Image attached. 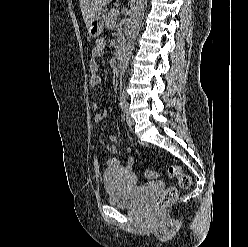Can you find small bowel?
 Masks as SVG:
<instances>
[{
    "instance_id": "1",
    "label": "small bowel",
    "mask_w": 248,
    "mask_h": 247,
    "mask_svg": "<svg viewBox=\"0 0 248 247\" xmlns=\"http://www.w3.org/2000/svg\"><path fill=\"white\" fill-rule=\"evenodd\" d=\"M104 52H105V41L103 39H99V40H97L96 45L92 49V53H91L90 85L92 87L99 86L102 82L101 76L97 72L98 68L96 65V59L102 57L104 55ZM98 107H99V103L97 101H93L91 104L92 110L96 111L98 109ZM107 114H108L107 111L97 113L94 117L95 122H97V123L102 122L106 118ZM110 140L112 141L113 144L105 143L104 147L110 154L115 155L117 153V147L115 146L114 143H116L117 138L114 135H112V136H110ZM126 153L128 155V158H127L125 164L123 165V167L125 169H127L128 171H131L133 169V165H134V161H133V158L131 156V153H132L131 148H127ZM107 164L109 166H118V165H121V162H120V160H118L116 157L113 156L107 160Z\"/></svg>"
}]
</instances>
